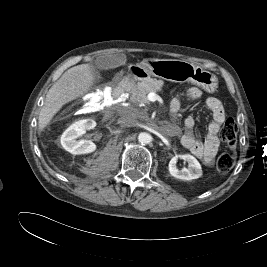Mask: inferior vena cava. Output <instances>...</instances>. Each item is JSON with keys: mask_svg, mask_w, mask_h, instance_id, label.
I'll use <instances>...</instances> for the list:
<instances>
[{"mask_svg": "<svg viewBox=\"0 0 267 267\" xmlns=\"http://www.w3.org/2000/svg\"><path fill=\"white\" fill-rule=\"evenodd\" d=\"M118 123L123 127H133L137 125V120L135 118L134 110L131 108H123L120 111V118Z\"/></svg>", "mask_w": 267, "mask_h": 267, "instance_id": "obj_1", "label": "inferior vena cava"}]
</instances>
